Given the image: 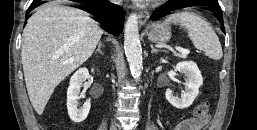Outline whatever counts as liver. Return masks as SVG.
<instances>
[{"mask_svg": "<svg viewBox=\"0 0 257 130\" xmlns=\"http://www.w3.org/2000/svg\"><path fill=\"white\" fill-rule=\"evenodd\" d=\"M103 31L84 11L49 2L27 21L21 61L30 102L41 115L55 87L93 54Z\"/></svg>", "mask_w": 257, "mask_h": 130, "instance_id": "obj_1", "label": "liver"}]
</instances>
